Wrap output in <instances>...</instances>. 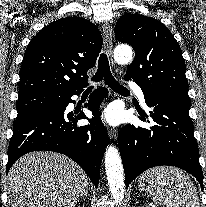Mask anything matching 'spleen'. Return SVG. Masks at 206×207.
I'll use <instances>...</instances> for the list:
<instances>
[{"instance_id":"1","label":"spleen","mask_w":206,"mask_h":207,"mask_svg":"<svg viewBox=\"0 0 206 207\" xmlns=\"http://www.w3.org/2000/svg\"><path fill=\"white\" fill-rule=\"evenodd\" d=\"M138 186L158 205L200 207L193 182L179 168L161 166L147 170L140 176Z\"/></svg>"}]
</instances>
